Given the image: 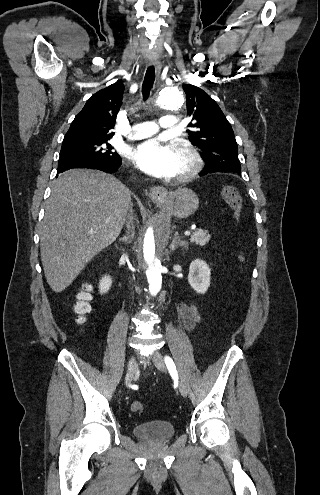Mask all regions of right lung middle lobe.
<instances>
[{
  "label": "right lung middle lobe",
  "instance_id": "dd1d6c3e",
  "mask_svg": "<svg viewBox=\"0 0 320 495\" xmlns=\"http://www.w3.org/2000/svg\"><path fill=\"white\" fill-rule=\"evenodd\" d=\"M110 139L63 140L58 167L74 162L116 161L120 159L112 152Z\"/></svg>",
  "mask_w": 320,
  "mask_h": 495
}]
</instances>
